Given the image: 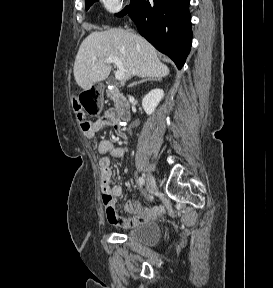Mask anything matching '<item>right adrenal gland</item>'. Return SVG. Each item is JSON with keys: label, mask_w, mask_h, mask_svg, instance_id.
<instances>
[{"label": "right adrenal gland", "mask_w": 273, "mask_h": 288, "mask_svg": "<svg viewBox=\"0 0 273 288\" xmlns=\"http://www.w3.org/2000/svg\"><path fill=\"white\" fill-rule=\"evenodd\" d=\"M155 80H157V79H156V78H153V77H146V78H144V79H142V80H140V81H138V82L132 83V84L130 85V87H134V86H136L137 84H141V83H144V82H147V81H155Z\"/></svg>", "instance_id": "right-adrenal-gland-1"}]
</instances>
